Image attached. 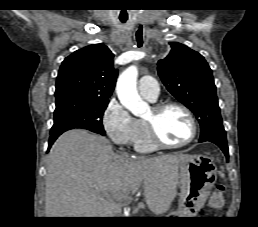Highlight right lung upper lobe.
<instances>
[{
  "label": "right lung upper lobe",
  "mask_w": 258,
  "mask_h": 227,
  "mask_svg": "<svg viewBox=\"0 0 258 227\" xmlns=\"http://www.w3.org/2000/svg\"><path fill=\"white\" fill-rule=\"evenodd\" d=\"M113 57L103 44H93L72 53L59 69L55 96L72 94L108 100L118 75V70L113 68Z\"/></svg>",
  "instance_id": "1"
}]
</instances>
